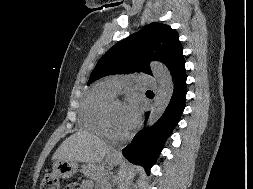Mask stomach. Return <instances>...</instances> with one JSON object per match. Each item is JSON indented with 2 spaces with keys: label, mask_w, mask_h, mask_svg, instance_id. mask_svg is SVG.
<instances>
[{
  "label": "stomach",
  "mask_w": 253,
  "mask_h": 189,
  "mask_svg": "<svg viewBox=\"0 0 253 189\" xmlns=\"http://www.w3.org/2000/svg\"><path fill=\"white\" fill-rule=\"evenodd\" d=\"M106 162L109 165H115L119 162V157L114 154H109L106 156ZM78 170L77 161H62L57 160L53 164L54 173L63 179L72 177Z\"/></svg>",
  "instance_id": "1"
}]
</instances>
